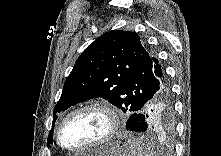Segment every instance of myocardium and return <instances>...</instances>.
I'll return each mask as SVG.
<instances>
[{
  "label": "myocardium",
  "mask_w": 221,
  "mask_h": 156,
  "mask_svg": "<svg viewBox=\"0 0 221 156\" xmlns=\"http://www.w3.org/2000/svg\"><path fill=\"white\" fill-rule=\"evenodd\" d=\"M86 110H98L102 113H104L108 119V129L106 133L97 141L94 143L83 146V147H77L72 148L64 145L62 141V130L67 123V121L73 117L74 115L86 111ZM120 127V116L117 112V110L109 103L104 101H93L86 104H83L81 106H78L77 108L70 111L60 122L58 129H57V142L59 146L69 152H81L90 150L96 147H99L107 142H109L118 132V129Z\"/></svg>",
  "instance_id": "obj_1"
}]
</instances>
